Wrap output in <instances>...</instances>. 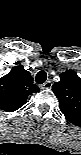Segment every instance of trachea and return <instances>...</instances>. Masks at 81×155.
Listing matches in <instances>:
<instances>
[{"label":"trachea","mask_w":81,"mask_h":155,"mask_svg":"<svg viewBox=\"0 0 81 155\" xmlns=\"http://www.w3.org/2000/svg\"><path fill=\"white\" fill-rule=\"evenodd\" d=\"M47 79V74L45 71L41 70L36 74V82L38 84H43Z\"/></svg>","instance_id":"3493384b"}]
</instances>
